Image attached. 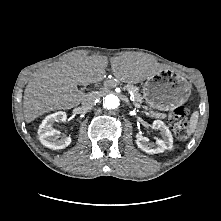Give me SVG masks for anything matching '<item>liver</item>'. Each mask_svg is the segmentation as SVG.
I'll return each mask as SVG.
<instances>
[{
    "label": "liver",
    "instance_id": "obj_1",
    "mask_svg": "<svg viewBox=\"0 0 221 221\" xmlns=\"http://www.w3.org/2000/svg\"><path fill=\"white\" fill-rule=\"evenodd\" d=\"M108 63L106 56L75 51L37 69L24 91L25 121L30 123L47 112L78 106L88 94L77 86L102 81ZM110 64L113 75L127 83H139L157 71L152 59L134 53L111 57Z\"/></svg>",
    "mask_w": 221,
    "mask_h": 221
}]
</instances>
